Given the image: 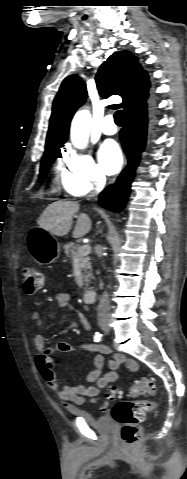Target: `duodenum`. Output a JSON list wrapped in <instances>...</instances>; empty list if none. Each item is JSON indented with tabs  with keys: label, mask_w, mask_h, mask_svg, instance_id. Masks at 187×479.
Returning a JSON list of instances; mask_svg holds the SVG:
<instances>
[{
	"label": "duodenum",
	"mask_w": 187,
	"mask_h": 479,
	"mask_svg": "<svg viewBox=\"0 0 187 479\" xmlns=\"http://www.w3.org/2000/svg\"><path fill=\"white\" fill-rule=\"evenodd\" d=\"M97 292L93 289H88L84 292V301L87 304H93L96 301Z\"/></svg>",
	"instance_id": "410a0bca"
}]
</instances>
